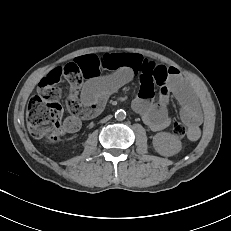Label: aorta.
I'll return each mask as SVG.
<instances>
[{"label":"aorta","mask_w":231,"mask_h":231,"mask_svg":"<svg viewBox=\"0 0 231 231\" xmlns=\"http://www.w3.org/2000/svg\"><path fill=\"white\" fill-rule=\"evenodd\" d=\"M125 116H126V112H125L124 110H117V111L115 112V118H116L117 120H122V119L125 118Z\"/></svg>","instance_id":"aorta-1"}]
</instances>
